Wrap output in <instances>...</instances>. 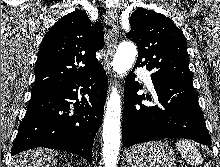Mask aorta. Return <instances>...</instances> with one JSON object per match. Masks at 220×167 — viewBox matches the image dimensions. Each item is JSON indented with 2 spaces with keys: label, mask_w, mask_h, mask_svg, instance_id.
I'll return each instance as SVG.
<instances>
[{
  "label": "aorta",
  "mask_w": 220,
  "mask_h": 167,
  "mask_svg": "<svg viewBox=\"0 0 220 167\" xmlns=\"http://www.w3.org/2000/svg\"><path fill=\"white\" fill-rule=\"evenodd\" d=\"M136 56L137 49L132 42H121L111 63L113 70L119 75L126 73L132 68ZM120 119L121 99L117 88L113 87L103 121L102 157L105 167L117 166L120 147Z\"/></svg>",
  "instance_id": "1"
}]
</instances>
